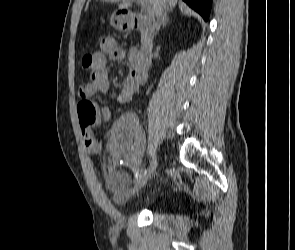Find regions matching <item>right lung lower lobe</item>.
<instances>
[{"instance_id": "obj_1", "label": "right lung lower lobe", "mask_w": 295, "mask_h": 250, "mask_svg": "<svg viewBox=\"0 0 295 250\" xmlns=\"http://www.w3.org/2000/svg\"><path fill=\"white\" fill-rule=\"evenodd\" d=\"M191 8L196 10L202 15V17L207 20L210 13L211 1L212 0H183Z\"/></svg>"}]
</instances>
